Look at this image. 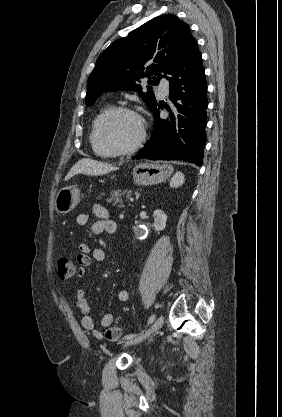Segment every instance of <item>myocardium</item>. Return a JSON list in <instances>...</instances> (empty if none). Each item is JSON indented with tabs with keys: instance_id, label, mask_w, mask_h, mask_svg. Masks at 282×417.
I'll return each instance as SVG.
<instances>
[{
	"instance_id": "obj_1",
	"label": "myocardium",
	"mask_w": 282,
	"mask_h": 417,
	"mask_svg": "<svg viewBox=\"0 0 282 417\" xmlns=\"http://www.w3.org/2000/svg\"><path fill=\"white\" fill-rule=\"evenodd\" d=\"M120 115L133 116L139 121V124H140V135L137 138V140L125 146L114 145L111 142L110 137H109L110 126L112 122L114 121V119ZM100 136H101L102 145L111 154H120V153L130 152L140 147L146 139L147 131H146V126H145V121L142 118V116L138 114L136 111L128 109V108H124V107H117V108L112 109L103 119L101 126H100Z\"/></svg>"
}]
</instances>
